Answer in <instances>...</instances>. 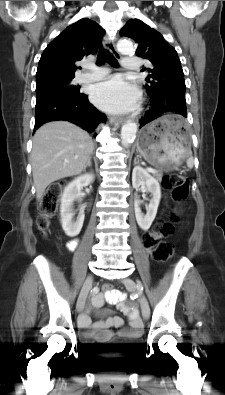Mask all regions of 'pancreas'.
Here are the masks:
<instances>
[{
  "instance_id": "cf45deb5",
  "label": "pancreas",
  "mask_w": 225,
  "mask_h": 395,
  "mask_svg": "<svg viewBox=\"0 0 225 395\" xmlns=\"http://www.w3.org/2000/svg\"><path fill=\"white\" fill-rule=\"evenodd\" d=\"M155 176H156V178L159 179V180L162 179V174L156 173Z\"/></svg>"
}]
</instances>
